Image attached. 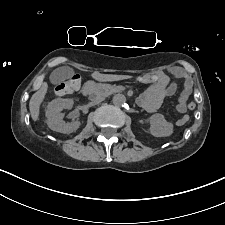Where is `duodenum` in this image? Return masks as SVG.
<instances>
[{"instance_id":"obj_1","label":"duodenum","mask_w":225,"mask_h":225,"mask_svg":"<svg viewBox=\"0 0 225 225\" xmlns=\"http://www.w3.org/2000/svg\"><path fill=\"white\" fill-rule=\"evenodd\" d=\"M83 95L84 96H95L96 95V91L94 89H92L91 84H88L86 86V88L83 91Z\"/></svg>"}]
</instances>
